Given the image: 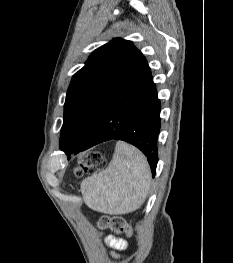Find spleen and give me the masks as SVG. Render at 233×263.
<instances>
[{
    "label": "spleen",
    "instance_id": "1",
    "mask_svg": "<svg viewBox=\"0 0 233 263\" xmlns=\"http://www.w3.org/2000/svg\"><path fill=\"white\" fill-rule=\"evenodd\" d=\"M150 181V167L142 152L119 141L108 167L85 178L81 192L85 204L95 211L127 214L143 204Z\"/></svg>",
    "mask_w": 233,
    "mask_h": 263
}]
</instances>
